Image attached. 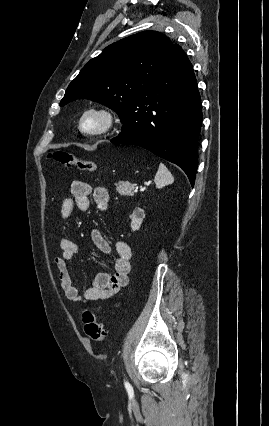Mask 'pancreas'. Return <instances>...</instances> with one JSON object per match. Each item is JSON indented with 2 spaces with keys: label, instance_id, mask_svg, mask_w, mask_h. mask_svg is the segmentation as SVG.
<instances>
[{
  "label": "pancreas",
  "instance_id": "cf45deb5",
  "mask_svg": "<svg viewBox=\"0 0 269 426\" xmlns=\"http://www.w3.org/2000/svg\"><path fill=\"white\" fill-rule=\"evenodd\" d=\"M116 186V191L123 196H133L134 195V189H135V185L130 183V182H124V181H120L117 184H115Z\"/></svg>",
  "mask_w": 269,
  "mask_h": 426
}]
</instances>
